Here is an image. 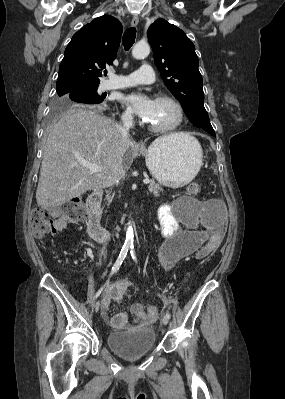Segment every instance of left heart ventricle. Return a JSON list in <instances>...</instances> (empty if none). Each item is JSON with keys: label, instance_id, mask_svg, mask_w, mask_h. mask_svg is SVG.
<instances>
[{"label": "left heart ventricle", "instance_id": "obj_1", "mask_svg": "<svg viewBox=\"0 0 285 399\" xmlns=\"http://www.w3.org/2000/svg\"><path fill=\"white\" fill-rule=\"evenodd\" d=\"M178 118L175 106L168 101L156 100L155 107L148 123L154 126H167L173 124Z\"/></svg>", "mask_w": 285, "mask_h": 399}]
</instances>
